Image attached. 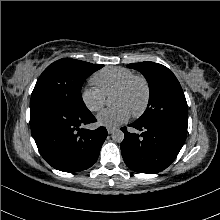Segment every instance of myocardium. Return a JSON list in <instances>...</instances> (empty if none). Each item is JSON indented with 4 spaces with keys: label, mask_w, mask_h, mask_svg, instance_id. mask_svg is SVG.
<instances>
[{
    "label": "myocardium",
    "mask_w": 220,
    "mask_h": 220,
    "mask_svg": "<svg viewBox=\"0 0 220 220\" xmlns=\"http://www.w3.org/2000/svg\"><path fill=\"white\" fill-rule=\"evenodd\" d=\"M137 82H140L143 85L145 95H144V101H143L142 106L138 110L132 113L133 117H140L141 115L145 113V111L148 108L150 97H151V88H150V84L148 80L142 75H134L131 78H129L126 82H124L113 93V95L126 93Z\"/></svg>",
    "instance_id": "obj_1"
}]
</instances>
